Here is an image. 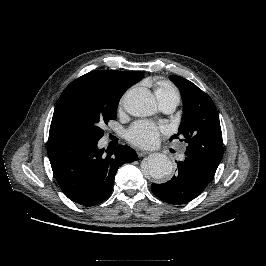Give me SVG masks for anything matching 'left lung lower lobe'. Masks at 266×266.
<instances>
[{
  "instance_id": "0a47b994",
  "label": "left lung lower lobe",
  "mask_w": 266,
  "mask_h": 266,
  "mask_svg": "<svg viewBox=\"0 0 266 266\" xmlns=\"http://www.w3.org/2000/svg\"><path fill=\"white\" fill-rule=\"evenodd\" d=\"M178 174L163 184H152L153 193L169 204L187 203L207 187L217 168L208 166L191 157L177 163Z\"/></svg>"
}]
</instances>
